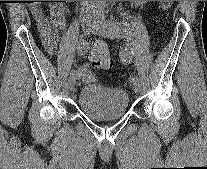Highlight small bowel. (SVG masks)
I'll return each mask as SVG.
<instances>
[{
  "instance_id": "small-bowel-1",
  "label": "small bowel",
  "mask_w": 207,
  "mask_h": 169,
  "mask_svg": "<svg viewBox=\"0 0 207 169\" xmlns=\"http://www.w3.org/2000/svg\"><path fill=\"white\" fill-rule=\"evenodd\" d=\"M71 2V1H66ZM136 3H145L147 1H134ZM31 13L36 21L37 30L41 43L50 56L57 53L60 43V35L65 27L67 8L63 3H58L51 9L50 17H47L39 8L33 7ZM76 72L79 78L90 80L93 77L88 65L81 66Z\"/></svg>"
}]
</instances>
